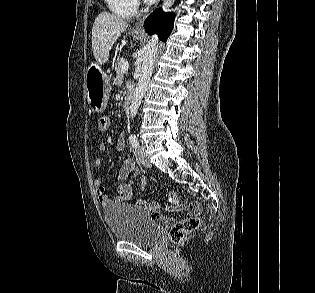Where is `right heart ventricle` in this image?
<instances>
[{
    "label": "right heart ventricle",
    "mask_w": 315,
    "mask_h": 293,
    "mask_svg": "<svg viewBox=\"0 0 315 293\" xmlns=\"http://www.w3.org/2000/svg\"><path fill=\"white\" fill-rule=\"evenodd\" d=\"M109 11L123 19H129L136 14L135 0H104Z\"/></svg>",
    "instance_id": "e07e8e85"
}]
</instances>
